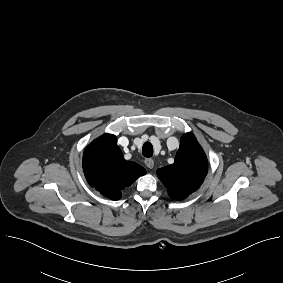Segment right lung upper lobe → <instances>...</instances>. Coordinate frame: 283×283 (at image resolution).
<instances>
[{"mask_svg":"<svg viewBox=\"0 0 283 283\" xmlns=\"http://www.w3.org/2000/svg\"><path fill=\"white\" fill-rule=\"evenodd\" d=\"M83 170L88 183L111 200L120 199L124 188L146 174L142 166L124 159L111 134L100 136L86 148Z\"/></svg>","mask_w":283,"mask_h":283,"instance_id":"cb5924a9","label":"right lung upper lobe"}]
</instances>
